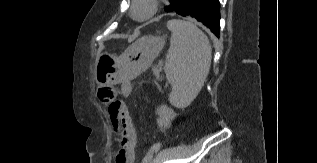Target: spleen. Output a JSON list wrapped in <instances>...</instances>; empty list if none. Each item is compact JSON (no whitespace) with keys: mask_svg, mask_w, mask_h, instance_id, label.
<instances>
[{"mask_svg":"<svg viewBox=\"0 0 317 163\" xmlns=\"http://www.w3.org/2000/svg\"><path fill=\"white\" fill-rule=\"evenodd\" d=\"M170 48L165 63L166 78L172 86L170 103L186 108L202 89L211 65V45L207 36L192 22L173 19Z\"/></svg>","mask_w":317,"mask_h":163,"instance_id":"1","label":"spleen"}]
</instances>
